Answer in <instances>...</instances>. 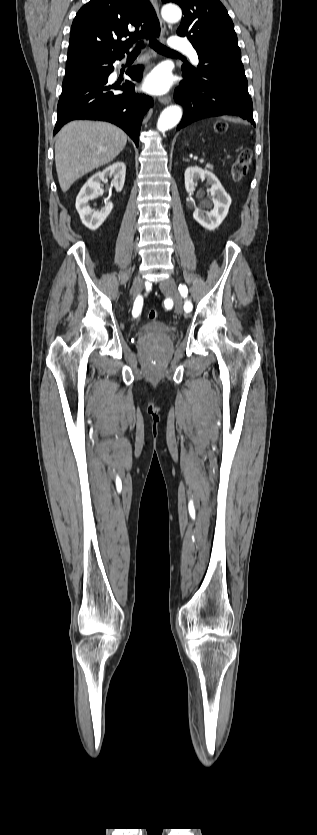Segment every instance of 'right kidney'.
Wrapping results in <instances>:
<instances>
[{"instance_id": "ca27d5eb", "label": "right kidney", "mask_w": 317, "mask_h": 835, "mask_svg": "<svg viewBox=\"0 0 317 835\" xmlns=\"http://www.w3.org/2000/svg\"><path fill=\"white\" fill-rule=\"evenodd\" d=\"M125 174L124 162H116L103 171L95 173L81 188L75 206L82 223L90 230L98 229L113 209L111 201H105V206L97 212H93L89 206V201L100 195L101 181H107L108 177H113L112 185L117 192H120L124 186Z\"/></svg>"}]
</instances>
